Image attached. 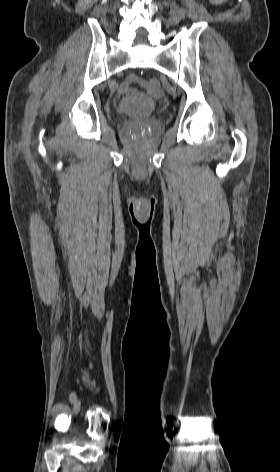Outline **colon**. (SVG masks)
I'll return each instance as SVG.
<instances>
[{"mask_svg":"<svg viewBox=\"0 0 280 472\" xmlns=\"http://www.w3.org/2000/svg\"><path fill=\"white\" fill-rule=\"evenodd\" d=\"M148 89L155 93L159 94L160 93V84L156 79H151L147 82Z\"/></svg>","mask_w":280,"mask_h":472,"instance_id":"1","label":"colon"}]
</instances>
